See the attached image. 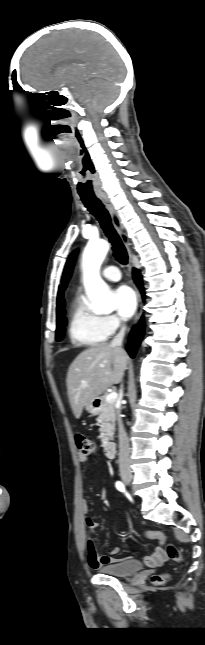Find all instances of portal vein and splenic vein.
<instances>
[{
  "label": "portal vein and splenic vein",
  "instance_id": "portal-vein-and-splenic-vein-1",
  "mask_svg": "<svg viewBox=\"0 0 205 645\" xmlns=\"http://www.w3.org/2000/svg\"><path fill=\"white\" fill-rule=\"evenodd\" d=\"M116 399H117V393L116 392H112L106 397V400L108 402H115Z\"/></svg>",
  "mask_w": 205,
  "mask_h": 645
}]
</instances>
